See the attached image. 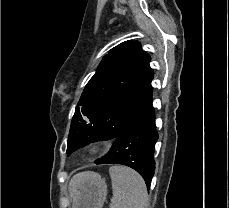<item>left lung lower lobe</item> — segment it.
<instances>
[{
    "mask_svg": "<svg viewBox=\"0 0 229 208\" xmlns=\"http://www.w3.org/2000/svg\"><path fill=\"white\" fill-rule=\"evenodd\" d=\"M113 138L115 141L110 151L96 160L95 163L126 165L136 170L143 177L147 189H149L155 169L154 146L158 139L154 108L140 115L138 119L122 130L97 133L74 148L68 155L91 142Z\"/></svg>",
    "mask_w": 229,
    "mask_h": 208,
    "instance_id": "left-lung-lower-lobe-1",
    "label": "left lung lower lobe"
}]
</instances>
